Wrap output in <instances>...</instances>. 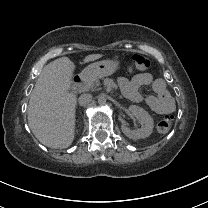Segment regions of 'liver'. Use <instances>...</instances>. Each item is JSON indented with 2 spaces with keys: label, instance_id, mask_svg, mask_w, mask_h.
<instances>
[{
  "label": "liver",
  "instance_id": "1",
  "mask_svg": "<svg viewBox=\"0 0 208 208\" xmlns=\"http://www.w3.org/2000/svg\"><path fill=\"white\" fill-rule=\"evenodd\" d=\"M104 54H89L82 64ZM76 65L63 56L46 64L30 95L28 124L35 137L52 149L68 148L75 138L77 96L69 90Z\"/></svg>",
  "mask_w": 208,
  "mask_h": 208
}]
</instances>
